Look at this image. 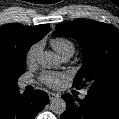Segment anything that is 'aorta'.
Here are the masks:
<instances>
[{"label":"aorta","instance_id":"aorta-1","mask_svg":"<svg viewBox=\"0 0 119 119\" xmlns=\"http://www.w3.org/2000/svg\"><path fill=\"white\" fill-rule=\"evenodd\" d=\"M38 62L42 68L51 69L56 68L60 65V60L53 52H43ZM50 109L55 114H62L66 110V102L62 98H54L50 103Z\"/></svg>","mask_w":119,"mask_h":119}]
</instances>
